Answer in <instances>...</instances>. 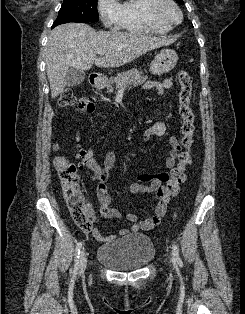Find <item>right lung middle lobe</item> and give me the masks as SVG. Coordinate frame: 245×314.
Wrapping results in <instances>:
<instances>
[{
	"instance_id": "right-lung-middle-lobe-1",
	"label": "right lung middle lobe",
	"mask_w": 245,
	"mask_h": 314,
	"mask_svg": "<svg viewBox=\"0 0 245 314\" xmlns=\"http://www.w3.org/2000/svg\"><path fill=\"white\" fill-rule=\"evenodd\" d=\"M99 20L97 0H64L52 27L68 22H95Z\"/></svg>"
}]
</instances>
